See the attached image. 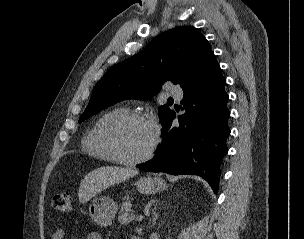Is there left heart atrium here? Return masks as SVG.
<instances>
[{"instance_id":"left-heart-atrium-1","label":"left heart atrium","mask_w":304,"mask_h":239,"mask_svg":"<svg viewBox=\"0 0 304 239\" xmlns=\"http://www.w3.org/2000/svg\"><path fill=\"white\" fill-rule=\"evenodd\" d=\"M150 125H151V128L153 129V131L156 130V125H155V123H151Z\"/></svg>"}]
</instances>
